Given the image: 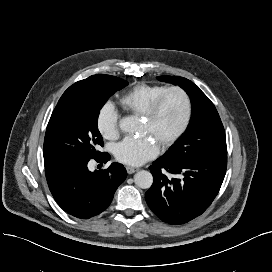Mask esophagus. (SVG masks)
Masks as SVG:
<instances>
[{"mask_svg": "<svg viewBox=\"0 0 272 272\" xmlns=\"http://www.w3.org/2000/svg\"><path fill=\"white\" fill-rule=\"evenodd\" d=\"M126 170H127V173H128V174H133V173H135L136 171H138L137 168L129 167V166L126 167Z\"/></svg>", "mask_w": 272, "mask_h": 272, "instance_id": "34e87169", "label": "esophagus"}]
</instances>
